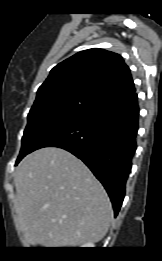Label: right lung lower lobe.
Listing matches in <instances>:
<instances>
[{"label":"right lung lower lobe","instance_id":"98d812e1","mask_svg":"<svg viewBox=\"0 0 162 261\" xmlns=\"http://www.w3.org/2000/svg\"><path fill=\"white\" fill-rule=\"evenodd\" d=\"M137 99L135 91L109 99L55 129L34 149L59 147L81 159L105 187L115 216L137 148Z\"/></svg>","mask_w":162,"mask_h":261}]
</instances>
